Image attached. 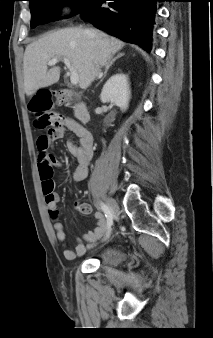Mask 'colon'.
Listing matches in <instances>:
<instances>
[{"mask_svg":"<svg viewBox=\"0 0 213 338\" xmlns=\"http://www.w3.org/2000/svg\"><path fill=\"white\" fill-rule=\"evenodd\" d=\"M54 104L69 106L71 101L66 96H53L49 91H41L32 97L29 104L31 111L35 114V124L39 128L49 129L47 135H51L52 129L64 123V117L52 110ZM41 180L44 194H51L54 187L52 173H44Z\"/></svg>","mask_w":213,"mask_h":338,"instance_id":"1","label":"colon"}]
</instances>
